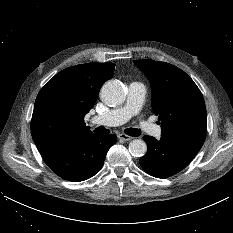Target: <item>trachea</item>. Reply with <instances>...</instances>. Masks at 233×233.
<instances>
[{
	"mask_svg": "<svg viewBox=\"0 0 233 233\" xmlns=\"http://www.w3.org/2000/svg\"><path fill=\"white\" fill-rule=\"evenodd\" d=\"M124 131H125V133L127 135L133 136V137H137V136H139L141 134V130L136 129V128H127ZM95 133H97V134H108L109 130H107L103 126H99L98 128L95 129Z\"/></svg>",
	"mask_w": 233,
	"mask_h": 233,
	"instance_id": "1",
	"label": "trachea"
}]
</instances>
